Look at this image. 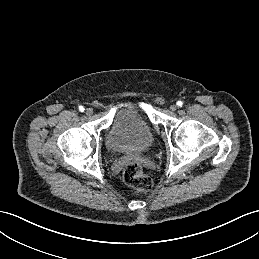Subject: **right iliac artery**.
<instances>
[{"label": "right iliac artery", "instance_id": "obj_1", "mask_svg": "<svg viewBox=\"0 0 259 259\" xmlns=\"http://www.w3.org/2000/svg\"><path fill=\"white\" fill-rule=\"evenodd\" d=\"M85 109L83 106H79V111L83 112Z\"/></svg>", "mask_w": 259, "mask_h": 259}]
</instances>
